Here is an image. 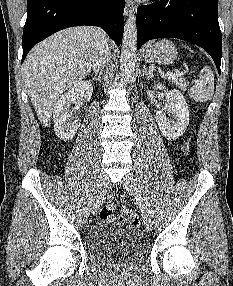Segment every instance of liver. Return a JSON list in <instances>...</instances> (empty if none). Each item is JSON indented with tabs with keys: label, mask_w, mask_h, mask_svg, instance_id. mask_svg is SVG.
<instances>
[{
	"label": "liver",
	"mask_w": 233,
	"mask_h": 286,
	"mask_svg": "<svg viewBox=\"0 0 233 286\" xmlns=\"http://www.w3.org/2000/svg\"><path fill=\"white\" fill-rule=\"evenodd\" d=\"M102 38V31L93 27H73L48 37L27 55L25 86L44 127L51 123L58 97L92 69Z\"/></svg>",
	"instance_id": "obj_1"
}]
</instances>
